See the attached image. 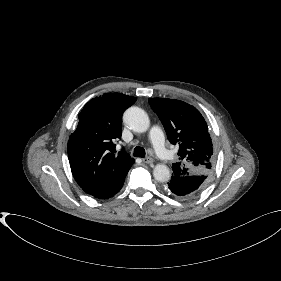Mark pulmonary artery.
Returning <instances> with one entry per match:
<instances>
[{
    "label": "pulmonary artery",
    "instance_id": "e3ab8cb5",
    "mask_svg": "<svg viewBox=\"0 0 281 281\" xmlns=\"http://www.w3.org/2000/svg\"><path fill=\"white\" fill-rule=\"evenodd\" d=\"M149 137L155 152L163 159H171L172 153L169 152L164 143V135L160 127L153 126L150 129Z\"/></svg>",
    "mask_w": 281,
    "mask_h": 281
}]
</instances>
